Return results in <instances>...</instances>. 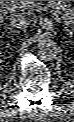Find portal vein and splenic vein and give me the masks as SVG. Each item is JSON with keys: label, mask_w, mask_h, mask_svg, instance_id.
<instances>
[{"label": "portal vein and splenic vein", "mask_w": 74, "mask_h": 122, "mask_svg": "<svg viewBox=\"0 0 74 122\" xmlns=\"http://www.w3.org/2000/svg\"><path fill=\"white\" fill-rule=\"evenodd\" d=\"M28 4H29L28 1H18V2L10 1L7 4V9L11 10V11L23 10V9H26V6ZM41 9L44 10V11L50 10L51 13H52V16L54 17V19L57 20V21H60L59 17H58L59 16V11L58 10H52L48 6H43V7H41ZM66 23H68V22H66Z\"/></svg>", "instance_id": "obj_1"}]
</instances>
